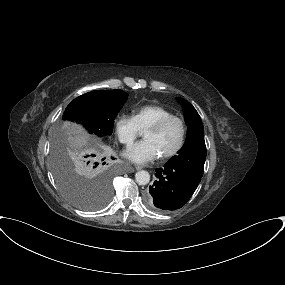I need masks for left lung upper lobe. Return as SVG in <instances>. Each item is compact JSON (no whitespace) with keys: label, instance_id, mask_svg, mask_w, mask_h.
I'll list each match as a JSON object with an SVG mask.
<instances>
[{"label":"left lung upper lobe","instance_id":"5c2ea615","mask_svg":"<svg viewBox=\"0 0 285 285\" xmlns=\"http://www.w3.org/2000/svg\"><path fill=\"white\" fill-rule=\"evenodd\" d=\"M176 100L183 107L185 122L188 127L187 138L178 155L172 157L167 164L188 170L202 177L206 159V145L201 118L189 102L179 97Z\"/></svg>","mask_w":285,"mask_h":285}]
</instances>
